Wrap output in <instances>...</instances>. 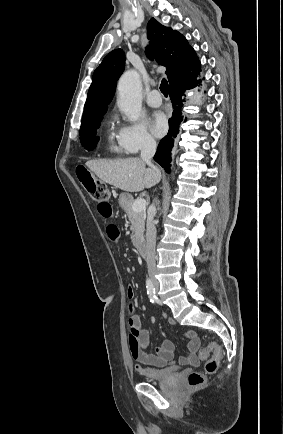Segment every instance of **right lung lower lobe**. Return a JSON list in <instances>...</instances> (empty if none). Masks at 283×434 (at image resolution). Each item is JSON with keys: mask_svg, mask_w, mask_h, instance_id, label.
I'll list each match as a JSON object with an SVG mask.
<instances>
[{"mask_svg": "<svg viewBox=\"0 0 283 434\" xmlns=\"http://www.w3.org/2000/svg\"><path fill=\"white\" fill-rule=\"evenodd\" d=\"M198 80L192 84H173L170 86V98L173 104V116L169 119V132L159 143L154 159L170 173V153L174 146V139L179 132V125L183 120L182 107L184 103L183 92L197 86Z\"/></svg>", "mask_w": 283, "mask_h": 434, "instance_id": "obj_1", "label": "right lung lower lobe"}]
</instances>
